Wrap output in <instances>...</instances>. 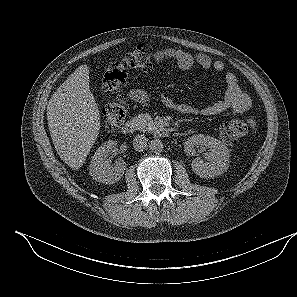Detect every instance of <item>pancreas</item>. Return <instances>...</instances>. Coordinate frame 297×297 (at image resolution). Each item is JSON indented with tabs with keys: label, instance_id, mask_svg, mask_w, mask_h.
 Segmentation results:
<instances>
[{
	"label": "pancreas",
	"instance_id": "obj_1",
	"mask_svg": "<svg viewBox=\"0 0 297 297\" xmlns=\"http://www.w3.org/2000/svg\"><path fill=\"white\" fill-rule=\"evenodd\" d=\"M133 121L138 124L139 130L143 132L152 131L157 127L156 122L148 114H138L133 118Z\"/></svg>",
	"mask_w": 297,
	"mask_h": 297
}]
</instances>
